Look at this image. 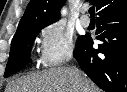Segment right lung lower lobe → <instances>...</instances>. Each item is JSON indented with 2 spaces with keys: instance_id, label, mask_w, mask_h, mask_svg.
Listing matches in <instances>:
<instances>
[{
  "instance_id": "obj_1",
  "label": "right lung lower lobe",
  "mask_w": 127,
  "mask_h": 92,
  "mask_svg": "<svg viewBox=\"0 0 127 92\" xmlns=\"http://www.w3.org/2000/svg\"><path fill=\"white\" fill-rule=\"evenodd\" d=\"M97 39L84 35L74 56L83 71L107 92H127V7L107 12L97 18Z\"/></svg>"
}]
</instances>
